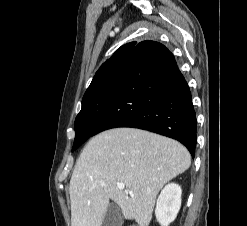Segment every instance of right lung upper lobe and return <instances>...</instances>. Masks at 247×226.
Masks as SVG:
<instances>
[{
    "label": "right lung upper lobe",
    "mask_w": 247,
    "mask_h": 226,
    "mask_svg": "<svg viewBox=\"0 0 247 226\" xmlns=\"http://www.w3.org/2000/svg\"><path fill=\"white\" fill-rule=\"evenodd\" d=\"M136 45H137L136 42H131V43H127L121 46L105 63L102 64V66L96 72L91 84L102 74V72L109 66L110 63L120 58L121 56H124V55L130 56L132 50L134 49Z\"/></svg>",
    "instance_id": "obj_1"
}]
</instances>
